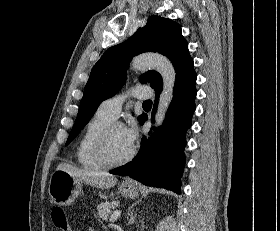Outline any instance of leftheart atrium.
<instances>
[{
    "instance_id": "39dd6f15",
    "label": "left heart atrium",
    "mask_w": 280,
    "mask_h": 231,
    "mask_svg": "<svg viewBox=\"0 0 280 231\" xmlns=\"http://www.w3.org/2000/svg\"><path fill=\"white\" fill-rule=\"evenodd\" d=\"M122 127V139L125 146L132 150L135 146V143L138 139V129L135 124H130L128 126L123 125Z\"/></svg>"
}]
</instances>
